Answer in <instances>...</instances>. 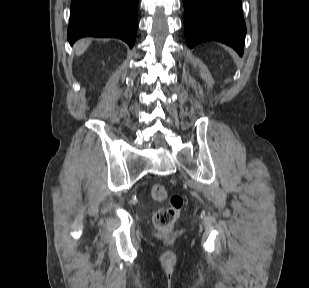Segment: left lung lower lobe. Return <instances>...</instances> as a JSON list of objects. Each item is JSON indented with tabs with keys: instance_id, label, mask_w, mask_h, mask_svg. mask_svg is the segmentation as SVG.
I'll return each mask as SVG.
<instances>
[{
	"instance_id": "0a47b994",
	"label": "left lung lower lobe",
	"mask_w": 309,
	"mask_h": 288,
	"mask_svg": "<svg viewBox=\"0 0 309 288\" xmlns=\"http://www.w3.org/2000/svg\"><path fill=\"white\" fill-rule=\"evenodd\" d=\"M183 3L188 47L215 40L243 55L246 25L241 0H183Z\"/></svg>"
}]
</instances>
